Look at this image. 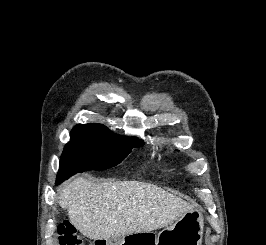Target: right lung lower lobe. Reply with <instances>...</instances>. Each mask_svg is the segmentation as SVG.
Returning a JSON list of instances; mask_svg holds the SVG:
<instances>
[{"label":"right lung lower lobe","mask_w":266,"mask_h":245,"mask_svg":"<svg viewBox=\"0 0 266 245\" xmlns=\"http://www.w3.org/2000/svg\"><path fill=\"white\" fill-rule=\"evenodd\" d=\"M59 183H61L58 179L56 180V184H59Z\"/></svg>","instance_id":"obj_1"}]
</instances>
